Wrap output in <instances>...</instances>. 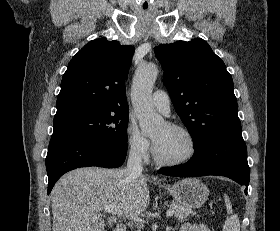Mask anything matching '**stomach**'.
<instances>
[{"label":"stomach","instance_id":"1","mask_svg":"<svg viewBox=\"0 0 280 231\" xmlns=\"http://www.w3.org/2000/svg\"><path fill=\"white\" fill-rule=\"evenodd\" d=\"M166 189L170 191L175 201L182 203L185 207H190V209L201 207L209 195V189L205 183H202L200 179H194V177L179 179L174 185H168Z\"/></svg>","mask_w":280,"mask_h":231}]
</instances>
